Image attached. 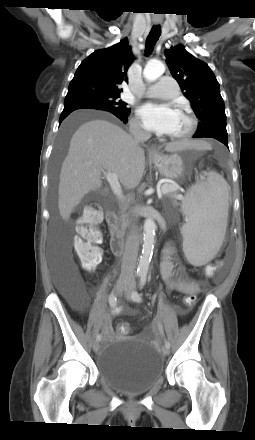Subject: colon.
I'll return each instance as SVG.
<instances>
[{
  "label": "colon",
  "instance_id": "colon-1",
  "mask_svg": "<svg viewBox=\"0 0 255 440\" xmlns=\"http://www.w3.org/2000/svg\"><path fill=\"white\" fill-rule=\"evenodd\" d=\"M101 220V212L93 206L86 208L78 219L74 247L81 265L87 269L95 268L102 258V250L98 247L103 240L102 232L98 227ZM195 301L196 296L194 294L185 297L186 305L191 306ZM128 330V324L120 326L122 333H127Z\"/></svg>",
  "mask_w": 255,
  "mask_h": 440
}]
</instances>
